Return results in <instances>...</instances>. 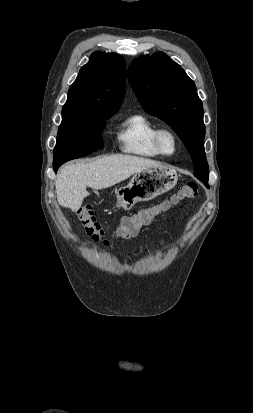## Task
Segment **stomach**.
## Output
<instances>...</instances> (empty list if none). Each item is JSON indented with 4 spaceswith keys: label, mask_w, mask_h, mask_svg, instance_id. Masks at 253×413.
Here are the masks:
<instances>
[{
    "label": "stomach",
    "mask_w": 253,
    "mask_h": 413,
    "mask_svg": "<svg viewBox=\"0 0 253 413\" xmlns=\"http://www.w3.org/2000/svg\"><path fill=\"white\" fill-rule=\"evenodd\" d=\"M177 180V173L164 166L137 172L127 186L118 190L117 203L119 207L128 210L136 202L149 201L168 192L176 185Z\"/></svg>",
    "instance_id": "1"
}]
</instances>
